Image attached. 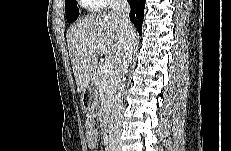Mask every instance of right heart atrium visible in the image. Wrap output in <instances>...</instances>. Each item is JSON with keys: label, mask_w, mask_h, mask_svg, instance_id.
Here are the masks:
<instances>
[{"label": "right heart atrium", "mask_w": 231, "mask_h": 151, "mask_svg": "<svg viewBox=\"0 0 231 151\" xmlns=\"http://www.w3.org/2000/svg\"><path fill=\"white\" fill-rule=\"evenodd\" d=\"M86 2L89 3L90 6L94 9L113 6L118 3V1H114V0H88Z\"/></svg>", "instance_id": "1"}]
</instances>
